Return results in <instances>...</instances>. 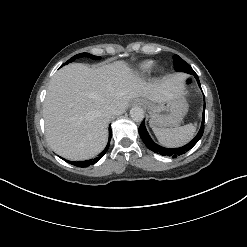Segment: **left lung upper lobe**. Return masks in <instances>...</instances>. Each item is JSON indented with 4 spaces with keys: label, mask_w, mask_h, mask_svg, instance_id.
Instances as JSON below:
<instances>
[{
    "label": "left lung upper lobe",
    "mask_w": 247,
    "mask_h": 247,
    "mask_svg": "<svg viewBox=\"0 0 247 247\" xmlns=\"http://www.w3.org/2000/svg\"><path fill=\"white\" fill-rule=\"evenodd\" d=\"M173 64H174L175 70L178 72H186L191 75L196 74L194 70L191 68V66L178 55L173 56Z\"/></svg>",
    "instance_id": "obj_1"
}]
</instances>
